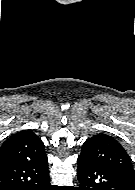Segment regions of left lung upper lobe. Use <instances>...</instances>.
<instances>
[{
    "mask_svg": "<svg viewBox=\"0 0 135 190\" xmlns=\"http://www.w3.org/2000/svg\"><path fill=\"white\" fill-rule=\"evenodd\" d=\"M79 157L99 162L111 168L132 188H135V171L131 159L121 144L113 137L100 134L87 139Z\"/></svg>",
    "mask_w": 135,
    "mask_h": 190,
    "instance_id": "1",
    "label": "left lung upper lobe"
}]
</instances>
